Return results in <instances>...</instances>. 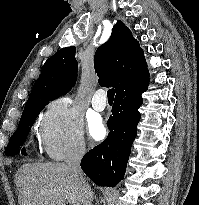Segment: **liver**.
I'll list each match as a JSON object with an SVG mask.
<instances>
[{
    "label": "liver",
    "mask_w": 199,
    "mask_h": 205,
    "mask_svg": "<svg viewBox=\"0 0 199 205\" xmlns=\"http://www.w3.org/2000/svg\"><path fill=\"white\" fill-rule=\"evenodd\" d=\"M19 205H89L80 183L67 164L26 163L15 175Z\"/></svg>",
    "instance_id": "6515ba94"
}]
</instances>
